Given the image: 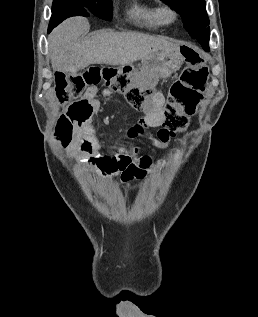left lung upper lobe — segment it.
<instances>
[{"label": "left lung upper lobe", "instance_id": "left-lung-upper-lobe-1", "mask_svg": "<svg viewBox=\"0 0 258 317\" xmlns=\"http://www.w3.org/2000/svg\"><path fill=\"white\" fill-rule=\"evenodd\" d=\"M178 12L191 37L210 34L205 0H162Z\"/></svg>", "mask_w": 258, "mask_h": 317}]
</instances>
